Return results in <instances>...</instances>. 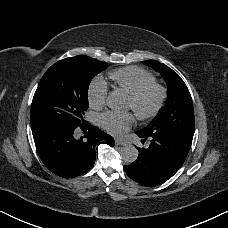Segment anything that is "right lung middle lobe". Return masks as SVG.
<instances>
[{"mask_svg":"<svg viewBox=\"0 0 228 228\" xmlns=\"http://www.w3.org/2000/svg\"><path fill=\"white\" fill-rule=\"evenodd\" d=\"M107 63L78 55L52 65L42 77L31 105V126L56 123L78 127L85 124L88 87Z\"/></svg>","mask_w":228,"mask_h":228,"instance_id":"1","label":"right lung middle lobe"}]
</instances>
